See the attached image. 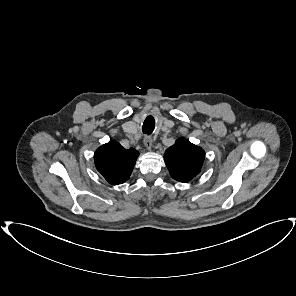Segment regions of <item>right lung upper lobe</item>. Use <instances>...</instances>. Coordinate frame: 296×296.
<instances>
[{
    "instance_id": "obj_1",
    "label": "right lung upper lobe",
    "mask_w": 296,
    "mask_h": 296,
    "mask_svg": "<svg viewBox=\"0 0 296 296\" xmlns=\"http://www.w3.org/2000/svg\"><path fill=\"white\" fill-rule=\"evenodd\" d=\"M138 156L135 149L110 141L97 149L94 158L97 170L110 184L117 185L129 179Z\"/></svg>"
}]
</instances>
